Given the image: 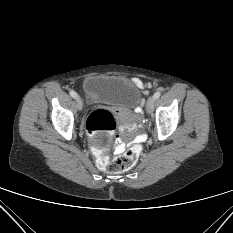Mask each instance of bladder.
I'll return each instance as SVG.
<instances>
[{"label": "bladder", "mask_w": 233, "mask_h": 233, "mask_svg": "<svg viewBox=\"0 0 233 233\" xmlns=\"http://www.w3.org/2000/svg\"><path fill=\"white\" fill-rule=\"evenodd\" d=\"M83 90L91 104L120 108H133L141 102L139 88L126 77L113 75H91L84 79ZM96 147L102 143L96 139Z\"/></svg>", "instance_id": "31cf9c89"}]
</instances>
